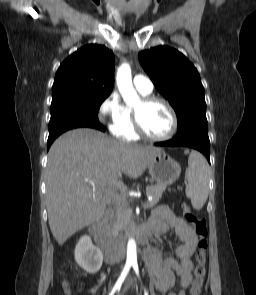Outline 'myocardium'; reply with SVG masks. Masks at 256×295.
I'll return each instance as SVG.
<instances>
[{"mask_svg":"<svg viewBox=\"0 0 256 295\" xmlns=\"http://www.w3.org/2000/svg\"><path fill=\"white\" fill-rule=\"evenodd\" d=\"M141 101L144 105H148V104H152V103H161L162 105H164L171 116V129L164 136L157 137V136L150 135L142 127V125L139 121L138 113L133 109L132 110V122H133V128H134L135 133L138 136H140L141 138L149 140V141H153V142H164V141L171 139L174 136V134L176 133L177 128H178L177 115H176V112H175L174 108L172 107V105L166 99L159 97V96H154V95L144 96L141 99Z\"/></svg>","mask_w":256,"mask_h":295,"instance_id":"f54148a6","label":"myocardium"}]
</instances>
